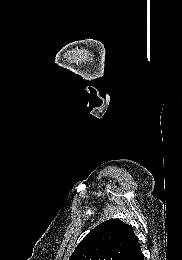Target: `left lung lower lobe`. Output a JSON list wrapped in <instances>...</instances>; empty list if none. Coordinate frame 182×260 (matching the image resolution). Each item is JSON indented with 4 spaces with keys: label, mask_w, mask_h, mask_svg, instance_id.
Returning <instances> with one entry per match:
<instances>
[{
    "label": "left lung lower lobe",
    "mask_w": 182,
    "mask_h": 260,
    "mask_svg": "<svg viewBox=\"0 0 182 260\" xmlns=\"http://www.w3.org/2000/svg\"><path fill=\"white\" fill-rule=\"evenodd\" d=\"M123 260H144V256L141 252L140 245L138 240L135 244L130 248L128 253L125 255Z\"/></svg>",
    "instance_id": "0a47b994"
}]
</instances>
